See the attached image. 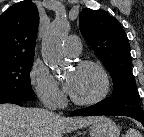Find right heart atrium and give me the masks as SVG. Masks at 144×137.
I'll return each instance as SVG.
<instances>
[{"label": "right heart atrium", "mask_w": 144, "mask_h": 137, "mask_svg": "<svg viewBox=\"0 0 144 137\" xmlns=\"http://www.w3.org/2000/svg\"><path fill=\"white\" fill-rule=\"evenodd\" d=\"M29 81L39 100L48 107L63 103L64 96L58 80L41 62L35 61L29 71Z\"/></svg>", "instance_id": "right-heart-atrium-1"}]
</instances>
